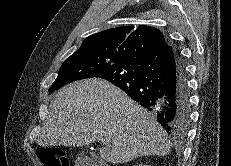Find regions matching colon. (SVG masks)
I'll return each instance as SVG.
<instances>
[{
  "label": "colon",
  "instance_id": "5ec220e1",
  "mask_svg": "<svg viewBox=\"0 0 231 166\" xmlns=\"http://www.w3.org/2000/svg\"><path fill=\"white\" fill-rule=\"evenodd\" d=\"M37 156L44 166H69V160L67 159L63 150L59 148H47L41 149L37 152ZM84 166H107L99 163H89Z\"/></svg>",
  "mask_w": 231,
  "mask_h": 166
}]
</instances>
